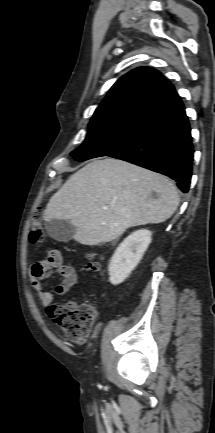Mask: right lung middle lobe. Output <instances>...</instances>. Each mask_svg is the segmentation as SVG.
<instances>
[{"instance_id": "dd1d6c3e", "label": "right lung middle lobe", "mask_w": 215, "mask_h": 433, "mask_svg": "<svg viewBox=\"0 0 215 433\" xmlns=\"http://www.w3.org/2000/svg\"><path fill=\"white\" fill-rule=\"evenodd\" d=\"M146 117L126 116L89 123L85 141L71 152L77 161L108 156L125 147L140 131Z\"/></svg>"}]
</instances>
